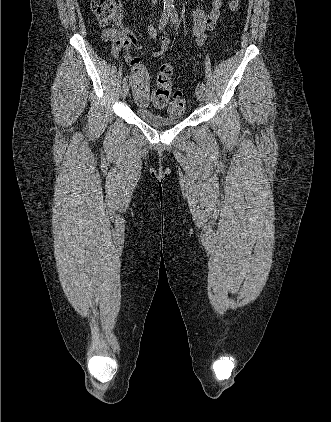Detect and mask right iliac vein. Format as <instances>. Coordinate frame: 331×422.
I'll return each instance as SVG.
<instances>
[{
  "mask_svg": "<svg viewBox=\"0 0 331 422\" xmlns=\"http://www.w3.org/2000/svg\"><path fill=\"white\" fill-rule=\"evenodd\" d=\"M128 94H129V85H128V84H125V85H123V87H122V90H121V96H122L123 98H126V97L128 96Z\"/></svg>",
  "mask_w": 331,
  "mask_h": 422,
  "instance_id": "63e3f726",
  "label": "right iliac vein"
}]
</instances>
